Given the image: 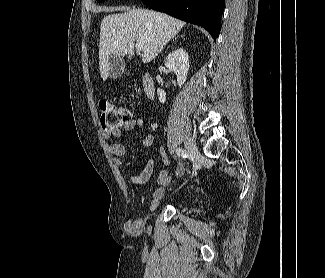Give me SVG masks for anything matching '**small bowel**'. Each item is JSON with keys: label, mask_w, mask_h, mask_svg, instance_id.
Wrapping results in <instances>:
<instances>
[{"label": "small bowel", "mask_w": 325, "mask_h": 278, "mask_svg": "<svg viewBox=\"0 0 325 278\" xmlns=\"http://www.w3.org/2000/svg\"><path fill=\"white\" fill-rule=\"evenodd\" d=\"M144 127V119L141 116H137L132 118L130 121L125 123L122 128H117L114 130H105L103 135L105 138H119L121 136L122 131L131 132L135 129H142ZM154 142V134L153 132H147L141 139V144L145 147H149ZM109 151L113 156L114 163L117 166H121L123 163V157L126 156L127 150L124 145L120 143H113L109 146ZM160 153L162 154V159L165 165L169 164V159L164 153V149L162 147L159 148ZM154 169V160L153 158H149L146 162V165L140 174H133L130 176L131 182L136 186H141L145 184L150 178ZM187 171V165L184 161L178 163L176 169L173 174H170L167 169H162L158 173L157 177V188L154 189L152 194V201L149 204L150 208H154L157 206L160 199H162L165 188L171 185L175 179L182 177ZM132 227L131 225L129 226Z\"/></svg>", "instance_id": "small-bowel-1"}]
</instances>
